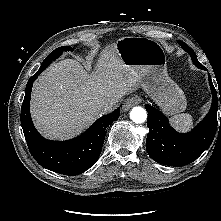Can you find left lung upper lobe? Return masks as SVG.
Returning <instances> with one entry per match:
<instances>
[{"label":"left lung upper lobe","mask_w":221,"mask_h":221,"mask_svg":"<svg viewBox=\"0 0 221 221\" xmlns=\"http://www.w3.org/2000/svg\"><path fill=\"white\" fill-rule=\"evenodd\" d=\"M179 43L185 51L189 52V54L191 55V59H192L193 63L194 64H199L200 62L197 60V57H196L194 51L186 43H184L182 41H179Z\"/></svg>","instance_id":"obj_1"}]
</instances>
